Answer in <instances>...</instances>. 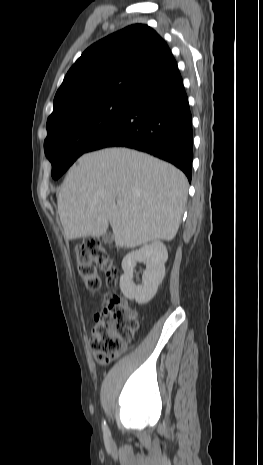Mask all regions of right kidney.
<instances>
[{"instance_id":"right-kidney-1","label":"right kidney","mask_w":263,"mask_h":465,"mask_svg":"<svg viewBox=\"0 0 263 465\" xmlns=\"http://www.w3.org/2000/svg\"><path fill=\"white\" fill-rule=\"evenodd\" d=\"M167 259V248L160 241H154L139 250L129 252L122 260L124 274L120 278V289L124 296L128 299H135L138 304L149 302L165 276ZM137 262L146 264L142 275V285H136L133 282V272Z\"/></svg>"}]
</instances>
